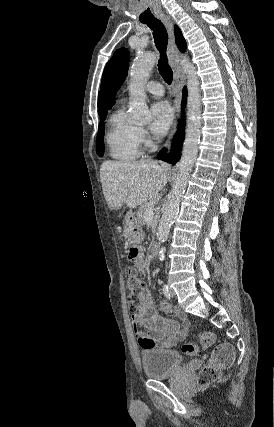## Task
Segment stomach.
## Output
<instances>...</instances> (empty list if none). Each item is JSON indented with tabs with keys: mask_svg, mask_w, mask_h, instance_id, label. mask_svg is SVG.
<instances>
[{
	"mask_svg": "<svg viewBox=\"0 0 274 427\" xmlns=\"http://www.w3.org/2000/svg\"><path fill=\"white\" fill-rule=\"evenodd\" d=\"M123 225L122 235H124L127 241H130V243H139L143 239L144 233L134 214L125 215Z\"/></svg>",
	"mask_w": 274,
	"mask_h": 427,
	"instance_id": "1",
	"label": "stomach"
}]
</instances>
